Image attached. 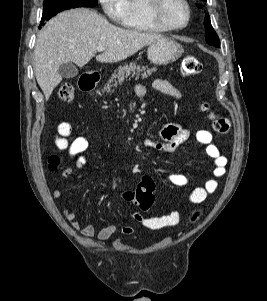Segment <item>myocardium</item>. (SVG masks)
<instances>
[{"instance_id":"f54148a6","label":"myocardium","mask_w":267,"mask_h":301,"mask_svg":"<svg viewBox=\"0 0 267 301\" xmlns=\"http://www.w3.org/2000/svg\"><path fill=\"white\" fill-rule=\"evenodd\" d=\"M150 12L153 19L167 30H181L185 28L191 20V7L188 0H181L186 9V20L182 25H174L164 16L163 10L167 0H150Z\"/></svg>"}]
</instances>
